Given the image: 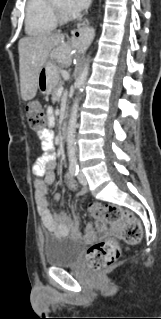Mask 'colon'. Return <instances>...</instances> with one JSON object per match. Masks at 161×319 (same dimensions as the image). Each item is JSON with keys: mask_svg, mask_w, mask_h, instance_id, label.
I'll return each instance as SVG.
<instances>
[{"mask_svg": "<svg viewBox=\"0 0 161 319\" xmlns=\"http://www.w3.org/2000/svg\"><path fill=\"white\" fill-rule=\"evenodd\" d=\"M26 116L30 126L43 132L46 126L42 106L38 103H29L26 106ZM47 149H52L53 144L46 143ZM88 211L94 219H104L118 224L122 230V238L125 243H138L142 238V232L138 219L131 214L124 213L117 205L90 204ZM121 252L118 244L113 239L96 242L91 245L85 255L86 263L93 272H101L119 261Z\"/></svg>", "mask_w": 161, "mask_h": 319, "instance_id": "obj_1", "label": "colon"}]
</instances>
